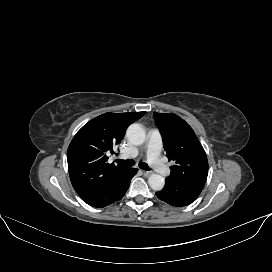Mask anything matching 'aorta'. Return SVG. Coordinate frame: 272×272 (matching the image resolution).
<instances>
[{"instance_id": "obj_1", "label": "aorta", "mask_w": 272, "mask_h": 272, "mask_svg": "<svg viewBox=\"0 0 272 272\" xmlns=\"http://www.w3.org/2000/svg\"><path fill=\"white\" fill-rule=\"evenodd\" d=\"M126 136L132 144L141 145L145 141L146 133L140 124L134 123L127 128ZM148 183L153 190L160 191L165 185V179L159 174H152L148 178Z\"/></svg>"}]
</instances>
